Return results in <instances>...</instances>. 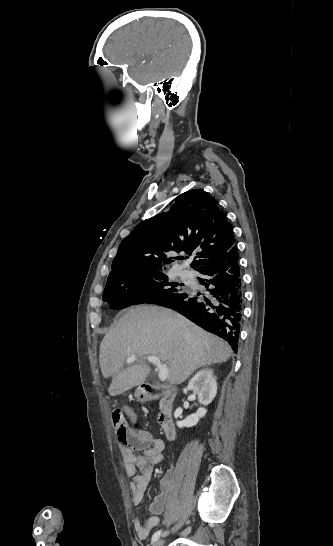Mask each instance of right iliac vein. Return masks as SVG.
I'll use <instances>...</instances> for the list:
<instances>
[{
    "label": "right iliac vein",
    "mask_w": 333,
    "mask_h": 546,
    "mask_svg": "<svg viewBox=\"0 0 333 546\" xmlns=\"http://www.w3.org/2000/svg\"><path fill=\"white\" fill-rule=\"evenodd\" d=\"M164 545V539H158L153 546H163Z\"/></svg>",
    "instance_id": "right-iliac-vein-1"
}]
</instances>
